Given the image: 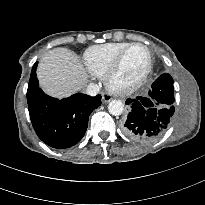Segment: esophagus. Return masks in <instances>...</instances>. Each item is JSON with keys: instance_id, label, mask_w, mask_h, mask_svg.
<instances>
[{"instance_id": "34e87169", "label": "esophagus", "mask_w": 205, "mask_h": 205, "mask_svg": "<svg viewBox=\"0 0 205 205\" xmlns=\"http://www.w3.org/2000/svg\"><path fill=\"white\" fill-rule=\"evenodd\" d=\"M112 99L111 95L109 93H103L102 94V100L105 103H108Z\"/></svg>"}]
</instances>
